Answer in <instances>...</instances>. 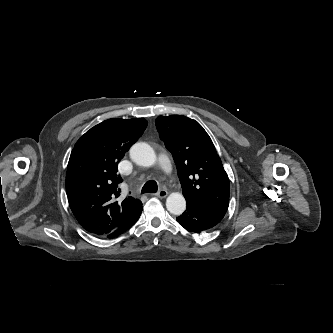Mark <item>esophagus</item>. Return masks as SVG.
Segmentation results:
<instances>
[{
    "mask_svg": "<svg viewBox=\"0 0 333 333\" xmlns=\"http://www.w3.org/2000/svg\"><path fill=\"white\" fill-rule=\"evenodd\" d=\"M168 192L166 190H160L159 192L155 193L154 196H157L159 198H165L167 197Z\"/></svg>",
    "mask_w": 333,
    "mask_h": 333,
    "instance_id": "esophagus-1",
    "label": "esophagus"
}]
</instances>
